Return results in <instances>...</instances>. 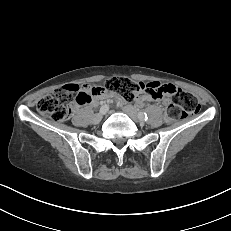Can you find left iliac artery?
I'll return each mask as SVG.
<instances>
[{
    "label": "left iliac artery",
    "instance_id": "1",
    "mask_svg": "<svg viewBox=\"0 0 231 231\" xmlns=\"http://www.w3.org/2000/svg\"><path fill=\"white\" fill-rule=\"evenodd\" d=\"M139 117L143 120H148V115L145 112H140Z\"/></svg>",
    "mask_w": 231,
    "mask_h": 231
}]
</instances>
